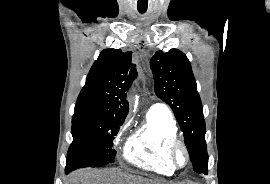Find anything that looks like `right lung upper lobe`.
I'll use <instances>...</instances> for the list:
<instances>
[{
  "label": "right lung upper lobe",
  "mask_w": 270,
  "mask_h": 184,
  "mask_svg": "<svg viewBox=\"0 0 270 184\" xmlns=\"http://www.w3.org/2000/svg\"><path fill=\"white\" fill-rule=\"evenodd\" d=\"M132 52L105 49L93 64L76 104L92 107L95 113L118 120L128 114L126 93L137 77Z\"/></svg>",
  "instance_id": "right-lung-upper-lobe-1"
}]
</instances>
